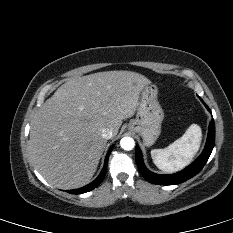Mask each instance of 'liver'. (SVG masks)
<instances>
[{
	"label": "liver",
	"instance_id": "1",
	"mask_svg": "<svg viewBox=\"0 0 233 233\" xmlns=\"http://www.w3.org/2000/svg\"><path fill=\"white\" fill-rule=\"evenodd\" d=\"M151 83L132 71H107L69 79L37 112L30 130L33 164L52 186L75 189L89 183L106 146L101 131L115 137L135 114L141 89Z\"/></svg>",
	"mask_w": 233,
	"mask_h": 233
}]
</instances>
